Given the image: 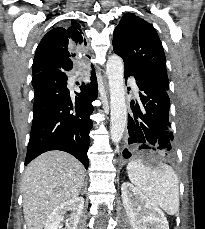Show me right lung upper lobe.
Returning a JSON list of instances; mask_svg holds the SVG:
<instances>
[{"label": "right lung upper lobe", "instance_id": "right-lung-upper-lobe-1", "mask_svg": "<svg viewBox=\"0 0 205 229\" xmlns=\"http://www.w3.org/2000/svg\"><path fill=\"white\" fill-rule=\"evenodd\" d=\"M85 45L81 27L74 20L70 27L52 29L42 38L36 49L33 75L50 68L68 72L73 67L76 53L81 52Z\"/></svg>", "mask_w": 205, "mask_h": 229}]
</instances>
